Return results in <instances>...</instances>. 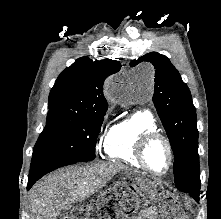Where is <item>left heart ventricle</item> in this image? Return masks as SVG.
I'll use <instances>...</instances> for the list:
<instances>
[{"label":"left heart ventricle","mask_w":221,"mask_h":219,"mask_svg":"<svg viewBox=\"0 0 221 219\" xmlns=\"http://www.w3.org/2000/svg\"><path fill=\"white\" fill-rule=\"evenodd\" d=\"M146 160L155 172H165L169 165V156L165 144L160 140L152 142L146 150Z\"/></svg>","instance_id":"b2bd125f"}]
</instances>
